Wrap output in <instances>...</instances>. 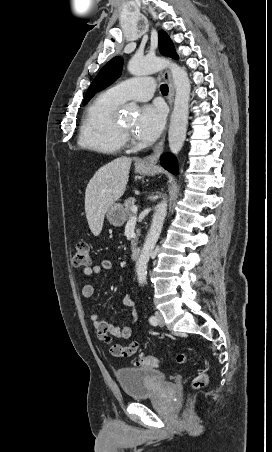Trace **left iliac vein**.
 I'll use <instances>...</instances> for the list:
<instances>
[{"label": "left iliac vein", "mask_w": 272, "mask_h": 452, "mask_svg": "<svg viewBox=\"0 0 272 452\" xmlns=\"http://www.w3.org/2000/svg\"><path fill=\"white\" fill-rule=\"evenodd\" d=\"M155 316H156V318H157V324H158L159 326H164V325H165V322H164V318H163L162 314H161L159 311H157V312L155 313Z\"/></svg>", "instance_id": "4c4485c4"}]
</instances>
